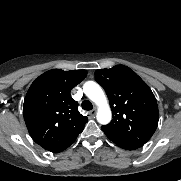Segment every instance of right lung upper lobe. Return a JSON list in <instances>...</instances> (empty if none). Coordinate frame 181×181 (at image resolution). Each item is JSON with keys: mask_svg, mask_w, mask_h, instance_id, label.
Returning a JSON list of instances; mask_svg holds the SVG:
<instances>
[{"mask_svg": "<svg viewBox=\"0 0 181 181\" xmlns=\"http://www.w3.org/2000/svg\"><path fill=\"white\" fill-rule=\"evenodd\" d=\"M86 70H49L34 80L23 105V115L32 139L42 148L59 153L68 148L84 129L87 117L70 96Z\"/></svg>", "mask_w": 181, "mask_h": 181, "instance_id": "1", "label": "right lung upper lobe"}]
</instances>
